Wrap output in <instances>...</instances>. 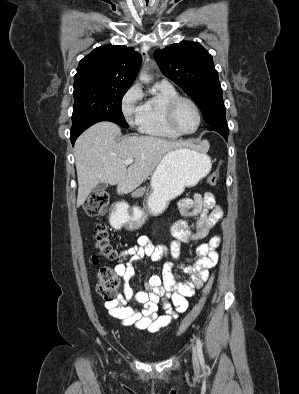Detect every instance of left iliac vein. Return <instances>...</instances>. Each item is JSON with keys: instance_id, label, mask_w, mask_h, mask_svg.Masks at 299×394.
Instances as JSON below:
<instances>
[{"instance_id": "1", "label": "left iliac vein", "mask_w": 299, "mask_h": 394, "mask_svg": "<svg viewBox=\"0 0 299 394\" xmlns=\"http://www.w3.org/2000/svg\"><path fill=\"white\" fill-rule=\"evenodd\" d=\"M193 364L198 366V355L195 346L193 347Z\"/></svg>"}]
</instances>
